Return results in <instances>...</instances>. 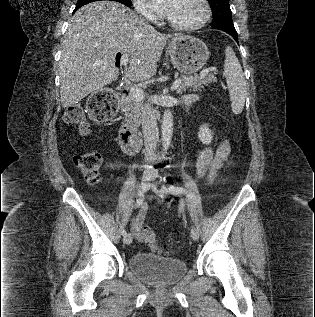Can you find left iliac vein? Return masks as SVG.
Returning <instances> with one entry per match:
<instances>
[{"mask_svg":"<svg viewBox=\"0 0 315 317\" xmlns=\"http://www.w3.org/2000/svg\"><path fill=\"white\" fill-rule=\"evenodd\" d=\"M152 189L155 193H157L159 196L164 197L167 195V191L163 188L158 189L155 184L152 185ZM191 237L194 241H197L199 239V231L196 227L192 226L190 230Z\"/></svg>","mask_w":315,"mask_h":317,"instance_id":"left-iliac-vein-1","label":"left iliac vein"}]
</instances>
